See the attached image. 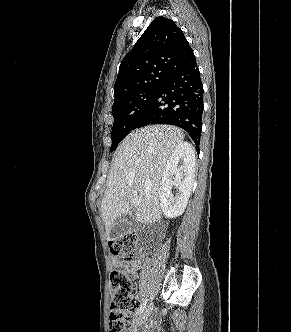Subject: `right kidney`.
<instances>
[{"instance_id": "ca27d5eb", "label": "right kidney", "mask_w": 291, "mask_h": 332, "mask_svg": "<svg viewBox=\"0 0 291 332\" xmlns=\"http://www.w3.org/2000/svg\"><path fill=\"white\" fill-rule=\"evenodd\" d=\"M181 163V165H180ZM195 173V153L191 144H179L169 157L162 176L159 200L166 218L180 216L188 203ZM178 189L176 196L172 187Z\"/></svg>"}]
</instances>
